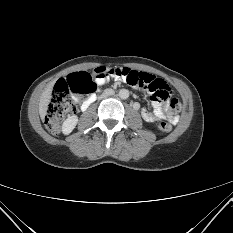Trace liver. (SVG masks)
I'll return each mask as SVG.
<instances>
[{"label":"liver","instance_id":"6515ba94","mask_svg":"<svg viewBox=\"0 0 233 233\" xmlns=\"http://www.w3.org/2000/svg\"><path fill=\"white\" fill-rule=\"evenodd\" d=\"M54 83H55V81L50 82L40 97L39 115H40L41 119H44V117L47 114L48 105H49V103L51 101V97H52L51 95H52Z\"/></svg>","mask_w":233,"mask_h":233}]
</instances>
